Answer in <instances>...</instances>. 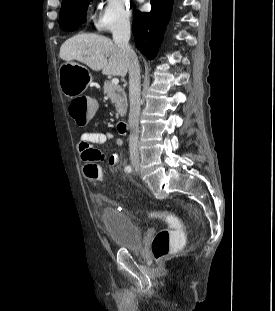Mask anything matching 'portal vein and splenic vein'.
Wrapping results in <instances>:
<instances>
[{"mask_svg": "<svg viewBox=\"0 0 275 311\" xmlns=\"http://www.w3.org/2000/svg\"><path fill=\"white\" fill-rule=\"evenodd\" d=\"M111 82H112V84L118 85L119 79L118 78H113Z\"/></svg>", "mask_w": 275, "mask_h": 311, "instance_id": "portal-vein-and-splenic-vein-1", "label": "portal vein and splenic vein"}]
</instances>
